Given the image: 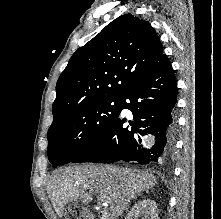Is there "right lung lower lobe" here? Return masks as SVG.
I'll use <instances>...</instances> for the list:
<instances>
[{
  "instance_id": "obj_1",
  "label": "right lung lower lobe",
  "mask_w": 221,
  "mask_h": 219,
  "mask_svg": "<svg viewBox=\"0 0 221 219\" xmlns=\"http://www.w3.org/2000/svg\"><path fill=\"white\" fill-rule=\"evenodd\" d=\"M120 99L121 110L117 118L91 148L71 162L136 160L148 164L170 160L175 145L177 87L166 55ZM123 109L131 111L133 122L122 118Z\"/></svg>"
}]
</instances>
